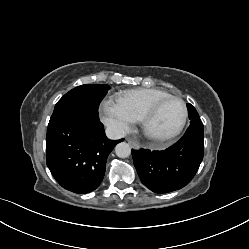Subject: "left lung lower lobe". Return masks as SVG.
I'll use <instances>...</instances> for the list:
<instances>
[{"label": "left lung lower lobe", "instance_id": "left-lung-lower-lobe-1", "mask_svg": "<svg viewBox=\"0 0 249 249\" xmlns=\"http://www.w3.org/2000/svg\"><path fill=\"white\" fill-rule=\"evenodd\" d=\"M203 155V127L196 126H189L182 138L166 150H132L141 182L155 193L186 186L196 174Z\"/></svg>", "mask_w": 249, "mask_h": 249}]
</instances>
